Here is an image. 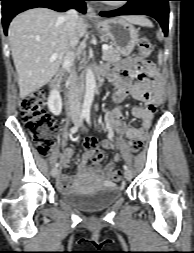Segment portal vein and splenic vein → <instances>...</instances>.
<instances>
[{
  "mask_svg": "<svg viewBox=\"0 0 194 253\" xmlns=\"http://www.w3.org/2000/svg\"><path fill=\"white\" fill-rule=\"evenodd\" d=\"M108 48H109L108 45H106V44L102 45V50H103V51L108 50ZM55 59H56V53H54V54L52 55L50 61H53V60H55Z\"/></svg>",
  "mask_w": 194,
  "mask_h": 253,
  "instance_id": "portal-vein-and-splenic-vein-1",
  "label": "portal vein and splenic vein"
}]
</instances>
